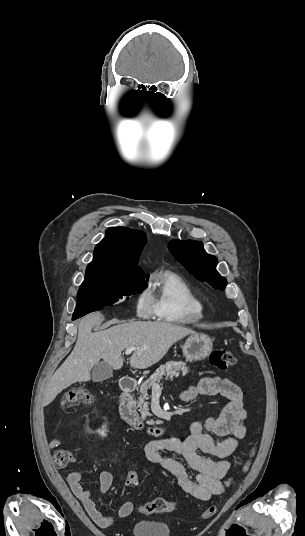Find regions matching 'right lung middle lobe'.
I'll return each mask as SVG.
<instances>
[{
    "instance_id": "1",
    "label": "right lung middle lobe",
    "mask_w": 305,
    "mask_h": 536,
    "mask_svg": "<svg viewBox=\"0 0 305 536\" xmlns=\"http://www.w3.org/2000/svg\"><path fill=\"white\" fill-rule=\"evenodd\" d=\"M148 277L130 279L85 278L78 292L73 316L82 317L90 312L111 306L122 298L141 293L148 286Z\"/></svg>"
}]
</instances>
